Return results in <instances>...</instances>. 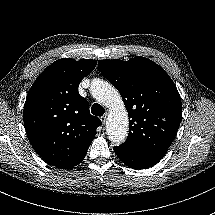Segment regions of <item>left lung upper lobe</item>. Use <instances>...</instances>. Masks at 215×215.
<instances>
[{
  "instance_id": "1",
  "label": "left lung upper lobe",
  "mask_w": 215,
  "mask_h": 215,
  "mask_svg": "<svg viewBox=\"0 0 215 215\" xmlns=\"http://www.w3.org/2000/svg\"><path fill=\"white\" fill-rule=\"evenodd\" d=\"M103 76L120 92L129 115V134L120 146L136 152H166L182 119L178 90L153 61L99 60Z\"/></svg>"
}]
</instances>
